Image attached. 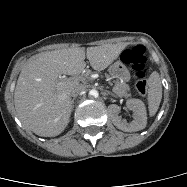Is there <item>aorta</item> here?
<instances>
[{"instance_id": "obj_1", "label": "aorta", "mask_w": 187, "mask_h": 187, "mask_svg": "<svg viewBox=\"0 0 187 187\" xmlns=\"http://www.w3.org/2000/svg\"><path fill=\"white\" fill-rule=\"evenodd\" d=\"M89 95L96 98V97H98L99 93H98L97 90L92 89V90L89 91Z\"/></svg>"}]
</instances>
